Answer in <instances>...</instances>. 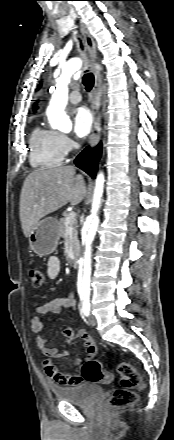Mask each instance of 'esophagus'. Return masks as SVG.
Instances as JSON below:
<instances>
[{
	"instance_id": "34e87169",
	"label": "esophagus",
	"mask_w": 174,
	"mask_h": 440,
	"mask_svg": "<svg viewBox=\"0 0 174 440\" xmlns=\"http://www.w3.org/2000/svg\"><path fill=\"white\" fill-rule=\"evenodd\" d=\"M80 31L84 38L85 46L88 50L89 56L93 63L97 60V51L95 42L86 29V27L80 23ZM95 84L93 87V101H92V113H93V130L90 135V146L95 147L101 136V115H100V96H101V76L97 70H94Z\"/></svg>"
}]
</instances>
